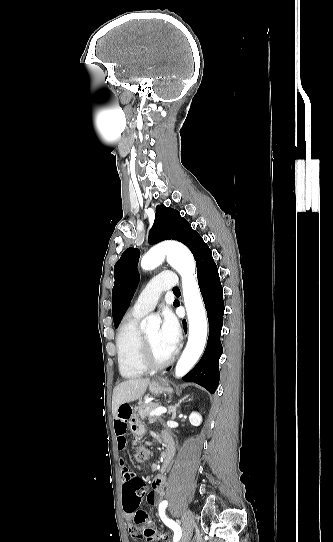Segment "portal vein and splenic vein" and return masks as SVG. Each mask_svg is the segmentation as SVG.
I'll use <instances>...</instances> for the list:
<instances>
[{
	"instance_id": "obj_1",
	"label": "portal vein and splenic vein",
	"mask_w": 333,
	"mask_h": 542,
	"mask_svg": "<svg viewBox=\"0 0 333 542\" xmlns=\"http://www.w3.org/2000/svg\"><path fill=\"white\" fill-rule=\"evenodd\" d=\"M167 408H163V406H160V408H156V410H153V412H150L149 416H161V414H166Z\"/></svg>"
}]
</instances>
